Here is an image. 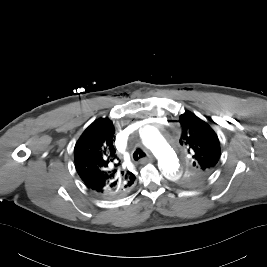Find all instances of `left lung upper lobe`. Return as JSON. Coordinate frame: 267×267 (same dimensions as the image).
Listing matches in <instances>:
<instances>
[{
	"label": "left lung upper lobe",
	"mask_w": 267,
	"mask_h": 267,
	"mask_svg": "<svg viewBox=\"0 0 267 267\" xmlns=\"http://www.w3.org/2000/svg\"><path fill=\"white\" fill-rule=\"evenodd\" d=\"M179 121L183 129L179 142L186 146L191 156L180 182L187 186L199 185L216 170L220 157L219 139L206 122L189 111L181 114Z\"/></svg>",
	"instance_id": "1"
}]
</instances>
